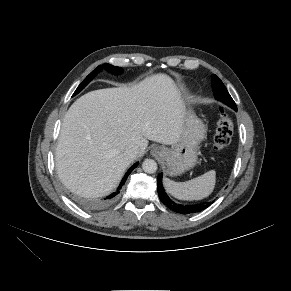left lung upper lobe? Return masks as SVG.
Returning a JSON list of instances; mask_svg holds the SVG:
<instances>
[{"label":"left lung upper lobe","mask_w":291,"mask_h":291,"mask_svg":"<svg viewBox=\"0 0 291 291\" xmlns=\"http://www.w3.org/2000/svg\"><path fill=\"white\" fill-rule=\"evenodd\" d=\"M212 89L217 100L225 103L234 110H237L235 102L228 93L222 81L216 75H212Z\"/></svg>","instance_id":"obj_1"}]
</instances>
